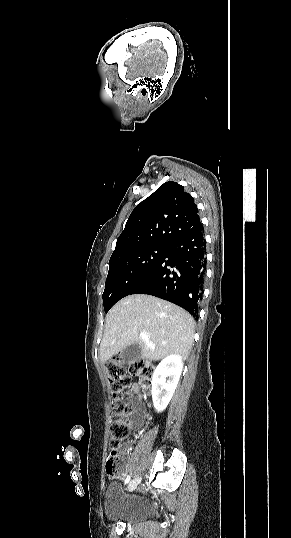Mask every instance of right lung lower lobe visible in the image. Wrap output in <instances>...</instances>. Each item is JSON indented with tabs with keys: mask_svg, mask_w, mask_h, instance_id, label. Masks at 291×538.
<instances>
[{
	"mask_svg": "<svg viewBox=\"0 0 291 538\" xmlns=\"http://www.w3.org/2000/svg\"><path fill=\"white\" fill-rule=\"evenodd\" d=\"M206 242L202 224L172 243L162 259L130 294H149L198 317L206 269Z\"/></svg>",
	"mask_w": 291,
	"mask_h": 538,
	"instance_id": "98d812e1",
	"label": "right lung lower lobe"
}]
</instances>
